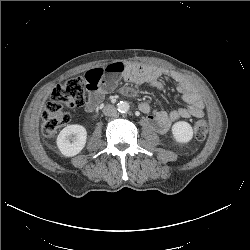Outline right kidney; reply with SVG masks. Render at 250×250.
Masks as SVG:
<instances>
[{
	"label": "right kidney",
	"instance_id": "ca27d5eb",
	"mask_svg": "<svg viewBox=\"0 0 250 250\" xmlns=\"http://www.w3.org/2000/svg\"><path fill=\"white\" fill-rule=\"evenodd\" d=\"M87 131L82 125H68L57 137V146L64 156L77 155L85 147Z\"/></svg>",
	"mask_w": 250,
	"mask_h": 250
}]
</instances>
